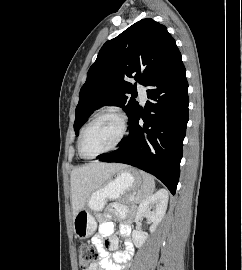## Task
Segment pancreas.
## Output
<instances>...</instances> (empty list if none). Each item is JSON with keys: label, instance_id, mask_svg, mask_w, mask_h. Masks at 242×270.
I'll return each instance as SVG.
<instances>
[{"label": "pancreas", "instance_id": "cf45deb5", "mask_svg": "<svg viewBox=\"0 0 242 270\" xmlns=\"http://www.w3.org/2000/svg\"><path fill=\"white\" fill-rule=\"evenodd\" d=\"M133 195H134L133 193H131L130 195H126L123 201L126 204H134V200L131 199L133 197Z\"/></svg>", "mask_w": 242, "mask_h": 270}]
</instances>
